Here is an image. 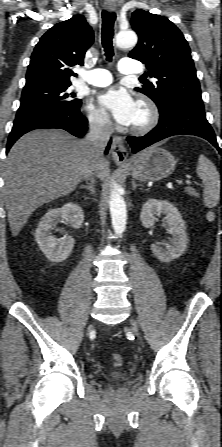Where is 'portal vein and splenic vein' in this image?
Here are the masks:
<instances>
[{
    "instance_id": "18ae733b",
    "label": "portal vein and splenic vein",
    "mask_w": 222,
    "mask_h": 447,
    "mask_svg": "<svg viewBox=\"0 0 222 447\" xmlns=\"http://www.w3.org/2000/svg\"><path fill=\"white\" fill-rule=\"evenodd\" d=\"M178 183H179V184H182V181H179ZM185 184H186V185H191L192 182H191L190 180H186V181H185Z\"/></svg>"
}]
</instances>
